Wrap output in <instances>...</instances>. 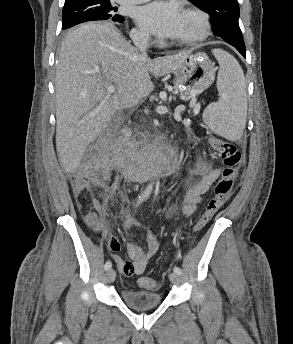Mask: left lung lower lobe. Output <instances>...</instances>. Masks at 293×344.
<instances>
[{
	"label": "left lung lower lobe",
	"instance_id": "0a47b994",
	"mask_svg": "<svg viewBox=\"0 0 293 344\" xmlns=\"http://www.w3.org/2000/svg\"><path fill=\"white\" fill-rule=\"evenodd\" d=\"M232 46H234L244 57H246L245 45H232Z\"/></svg>",
	"mask_w": 293,
	"mask_h": 344
}]
</instances>
